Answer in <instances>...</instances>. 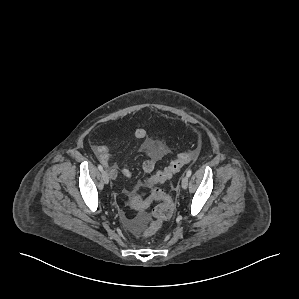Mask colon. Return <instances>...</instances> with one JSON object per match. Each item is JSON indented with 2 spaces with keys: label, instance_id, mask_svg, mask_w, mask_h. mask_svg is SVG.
Returning <instances> with one entry per match:
<instances>
[{
  "label": "colon",
  "instance_id": "colon-1",
  "mask_svg": "<svg viewBox=\"0 0 299 299\" xmlns=\"http://www.w3.org/2000/svg\"><path fill=\"white\" fill-rule=\"evenodd\" d=\"M197 155L196 150H189L177 155V157L170 162V164L162 170L143 181L142 186L154 187L151 194L146 199H143L137 193L130 196V205L134 210L141 211L146 209L152 202L158 201L159 205L153 210L155 220L146 228L138 231L142 236H151L159 230L163 222L168 220L174 212V203L171 197L162 189L155 187L168 179H170L180 169L190 163Z\"/></svg>",
  "mask_w": 299,
  "mask_h": 299
}]
</instances>
